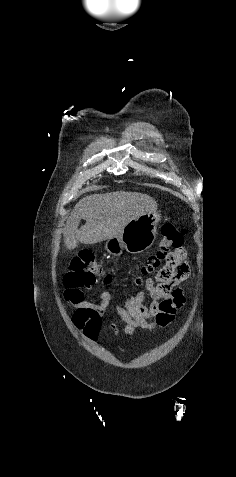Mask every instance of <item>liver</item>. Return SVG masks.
I'll list each match as a JSON object with an SVG mask.
<instances>
[{
  "instance_id": "6515ba94",
  "label": "liver",
  "mask_w": 236,
  "mask_h": 477,
  "mask_svg": "<svg viewBox=\"0 0 236 477\" xmlns=\"http://www.w3.org/2000/svg\"><path fill=\"white\" fill-rule=\"evenodd\" d=\"M156 201L146 194L117 191L93 194L81 199L71 212L63 230L68 249L77 244H95L121 234L133 219L156 212ZM81 219L85 225L78 229Z\"/></svg>"
}]
</instances>
